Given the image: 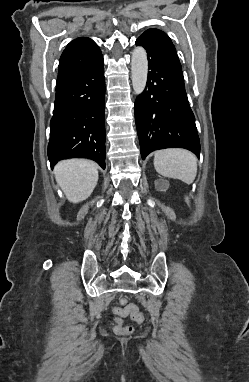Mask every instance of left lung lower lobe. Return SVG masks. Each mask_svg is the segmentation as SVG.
<instances>
[{"label": "left lung lower lobe", "mask_w": 249, "mask_h": 382, "mask_svg": "<svg viewBox=\"0 0 249 382\" xmlns=\"http://www.w3.org/2000/svg\"><path fill=\"white\" fill-rule=\"evenodd\" d=\"M136 45L146 49L150 70L146 88L135 102L142 158L163 148H185L199 157L200 141L181 67L141 38Z\"/></svg>", "instance_id": "left-lung-lower-lobe-1"}]
</instances>
